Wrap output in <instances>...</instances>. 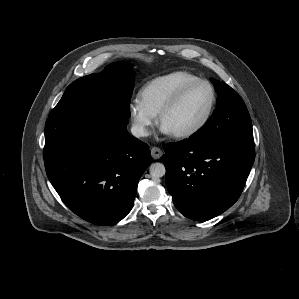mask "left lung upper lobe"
<instances>
[{"instance_id":"1","label":"left lung upper lobe","mask_w":299,"mask_h":299,"mask_svg":"<svg viewBox=\"0 0 299 299\" xmlns=\"http://www.w3.org/2000/svg\"><path fill=\"white\" fill-rule=\"evenodd\" d=\"M210 80L218 94L216 109L206 124L190 138L202 141L253 140L251 119L242 98L224 81Z\"/></svg>"}]
</instances>
